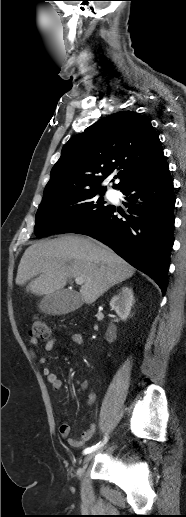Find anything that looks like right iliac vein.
I'll return each instance as SVG.
<instances>
[{"instance_id": "obj_1", "label": "right iliac vein", "mask_w": 186, "mask_h": 517, "mask_svg": "<svg viewBox=\"0 0 186 517\" xmlns=\"http://www.w3.org/2000/svg\"><path fill=\"white\" fill-rule=\"evenodd\" d=\"M95 456V453H90L88 455L85 456L84 458V464H88L92 459L93 457Z\"/></svg>"}]
</instances>
